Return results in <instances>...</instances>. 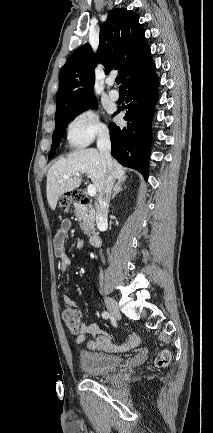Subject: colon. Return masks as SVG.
<instances>
[{
	"label": "colon",
	"instance_id": "obj_1",
	"mask_svg": "<svg viewBox=\"0 0 213 433\" xmlns=\"http://www.w3.org/2000/svg\"><path fill=\"white\" fill-rule=\"evenodd\" d=\"M87 198L85 193L80 190H76L68 196H64L60 200L62 207H68L72 201H79ZM62 319L68 329L75 332L77 331L82 322L81 311L74 305H66L62 311ZM171 361V353L169 350H163L157 359V365L160 367H166Z\"/></svg>",
	"mask_w": 213,
	"mask_h": 433
}]
</instances>
